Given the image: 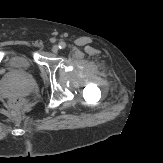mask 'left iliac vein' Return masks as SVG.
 Here are the masks:
<instances>
[{
  "mask_svg": "<svg viewBox=\"0 0 163 163\" xmlns=\"http://www.w3.org/2000/svg\"><path fill=\"white\" fill-rule=\"evenodd\" d=\"M59 51V47L57 46V45H54L53 47H52V52L53 53H57Z\"/></svg>",
  "mask_w": 163,
  "mask_h": 163,
  "instance_id": "obj_1",
  "label": "left iliac vein"
}]
</instances>
